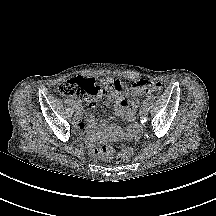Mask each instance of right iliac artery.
<instances>
[{
  "mask_svg": "<svg viewBox=\"0 0 216 216\" xmlns=\"http://www.w3.org/2000/svg\"><path fill=\"white\" fill-rule=\"evenodd\" d=\"M75 105H76V106H80V105H81V102H80V101H76V102H75Z\"/></svg>",
  "mask_w": 216,
  "mask_h": 216,
  "instance_id": "82829eb1",
  "label": "right iliac artery"
}]
</instances>
